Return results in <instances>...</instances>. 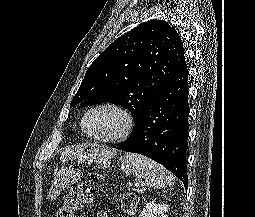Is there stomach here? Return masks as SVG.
<instances>
[{"instance_id":"0dacf381","label":"stomach","mask_w":255,"mask_h":217,"mask_svg":"<svg viewBox=\"0 0 255 217\" xmlns=\"http://www.w3.org/2000/svg\"><path fill=\"white\" fill-rule=\"evenodd\" d=\"M118 166L123 172L129 174L132 172V166L125 159L118 161ZM80 177V171L72 166H67L55 173L51 188L48 190L47 199L53 201L61 191L70 184L74 183Z\"/></svg>"}]
</instances>
